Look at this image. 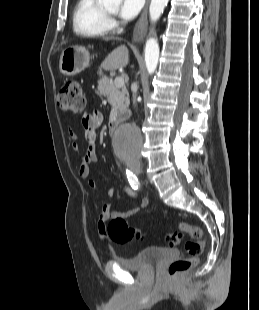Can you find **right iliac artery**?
<instances>
[{
    "label": "right iliac artery",
    "instance_id": "1",
    "mask_svg": "<svg viewBox=\"0 0 259 310\" xmlns=\"http://www.w3.org/2000/svg\"><path fill=\"white\" fill-rule=\"evenodd\" d=\"M127 179L133 189H138L140 186L137 176L130 170H126Z\"/></svg>",
    "mask_w": 259,
    "mask_h": 310
}]
</instances>
